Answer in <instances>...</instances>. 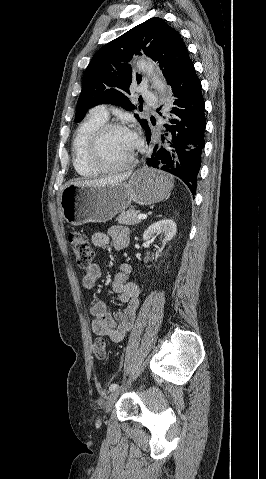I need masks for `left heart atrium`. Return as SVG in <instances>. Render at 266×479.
Returning <instances> with one entry per match:
<instances>
[{"label":"left heart atrium","mask_w":266,"mask_h":479,"mask_svg":"<svg viewBox=\"0 0 266 479\" xmlns=\"http://www.w3.org/2000/svg\"><path fill=\"white\" fill-rule=\"evenodd\" d=\"M133 135V137L136 139V135L134 133H131Z\"/></svg>","instance_id":"left-heart-atrium-1"}]
</instances>
